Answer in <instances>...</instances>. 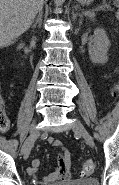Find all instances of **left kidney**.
I'll use <instances>...</instances> for the list:
<instances>
[{
	"label": "left kidney",
	"mask_w": 119,
	"mask_h": 185,
	"mask_svg": "<svg viewBox=\"0 0 119 185\" xmlns=\"http://www.w3.org/2000/svg\"><path fill=\"white\" fill-rule=\"evenodd\" d=\"M110 41L104 29L94 30V45L89 48L90 60L94 64H105L108 61L107 52Z\"/></svg>",
	"instance_id": "5707ae66"
}]
</instances>
